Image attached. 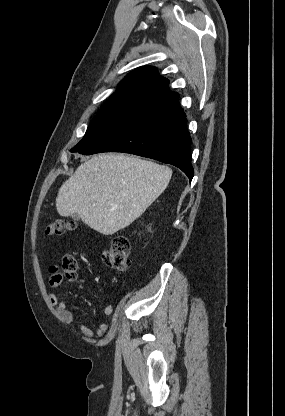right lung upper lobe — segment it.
I'll return each mask as SVG.
<instances>
[{"mask_svg":"<svg viewBox=\"0 0 285 416\" xmlns=\"http://www.w3.org/2000/svg\"><path fill=\"white\" fill-rule=\"evenodd\" d=\"M169 82L161 77L155 67H141L129 73L120 83L119 88L110 96L133 95L156 103L162 109L179 105V95L168 89Z\"/></svg>","mask_w":285,"mask_h":416,"instance_id":"obj_1","label":"right lung upper lobe"}]
</instances>
